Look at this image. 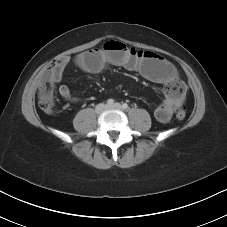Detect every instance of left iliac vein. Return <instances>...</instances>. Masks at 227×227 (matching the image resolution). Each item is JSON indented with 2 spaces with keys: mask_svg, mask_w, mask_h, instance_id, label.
I'll return each mask as SVG.
<instances>
[{
  "mask_svg": "<svg viewBox=\"0 0 227 227\" xmlns=\"http://www.w3.org/2000/svg\"><path fill=\"white\" fill-rule=\"evenodd\" d=\"M108 109H118V110H123V107L121 106V104L119 103H115L113 105H108L107 106Z\"/></svg>",
  "mask_w": 227,
  "mask_h": 227,
  "instance_id": "obj_1",
  "label": "left iliac vein"
}]
</instances>
